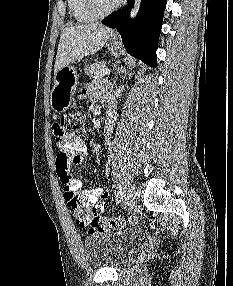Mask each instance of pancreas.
Segmentation results:
<instances>
[{
  "instance_id": "1",
  "label": "pancreas",
  "mask_w": 233,
  "mask_h": 286,
  "mask_svg": "<svg viewBox=\"0 0 233 286\" xmlns=\"http://www.w3.org/2000/svg\"><path fill=\"white\" fill-rule=\"evenodd\" d=\"M105 68H106V66H105L104 62H97V63H93V64L87 66L84 69V72L86 75H89L90 77H92L94 79H102L104 74L101 73V71Z\"/></svg>"
}]
</instances>
